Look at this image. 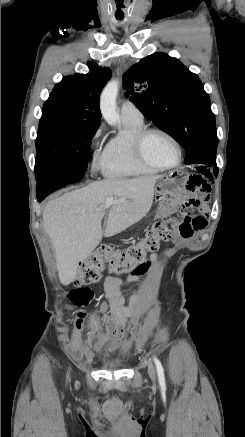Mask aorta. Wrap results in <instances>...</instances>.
Returning <instances> with one entry per match:
<instances>
[{"label": "aorta", "mask_w": 245, "mask_h": 437, "mask_svg": "<svg viewBox=\"0 0 245 437\" xmlns=\"http://www.w3.org/2000/svg\"><path fill=\"white\" fill-rule=\"evenodd\" d=\"M118 82L110 81L104 88L100 97V108L103 118L109 125H115L120 119L116 110V97L118 95Z\"/></svg>", "instance_id": "obj_1"}]
</instances>
